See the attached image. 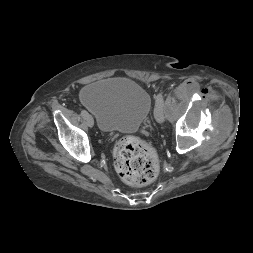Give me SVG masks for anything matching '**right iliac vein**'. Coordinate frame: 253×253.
<instances>
[{"label":"right iliac vein","mask_w":253,"mask_h":253,"mask_svg":"<svg viewBox=\"0 0 253 253\" xmlns=\"http://www.w3.org/2000/svg\"><path fill=\"white\" fill-rule=\"evenodd\" d=\"M86 123L89 127H93L94 125V120L93 117L90 114H87L85 117Z\"/></svg>","instance_id":"63e3f726"}]
</instances>
